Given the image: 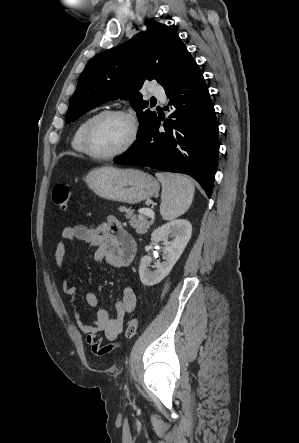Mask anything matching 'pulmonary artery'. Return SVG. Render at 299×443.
Segmentation results:
<instances>
[{"label": "pulmonary artery", "instance_id": "obj_1", "mask_svg": "<svg viewBox=\"0 0 299 443\" xmlns=\"http://www.w3.org/2000/svg\"><path fill=\"white\" fill-rule=\"evenodd\" d=\"M151 93L153 96L159 98L161 101H165L166 100V95H165V91L162 87L160 86H154L151 89Z\"/></svg>", "mask_w": 299, "mask_h": 443}]
</instances>
